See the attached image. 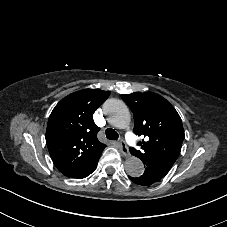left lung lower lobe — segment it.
Masks as SVG:
<instances>
[{"instance_id": "1", "label": "left lung lower lobe", "mask_w": 227, "mask_h": 227, "mask_svg": "<svg viewBox=\"0 0 227 227\" xmlns=\"http://www.w3.org/2000/svg\"><path fill=\"white\" fill-rule=\"evenodd\" d=\"M129 178L136 184L143 185V186H149L155 182L160 181L163 178V176H161L153 171L145 170L144 174L142 176H140L139 178H133V177H129Z\"/></svg>"}]
</instances>
